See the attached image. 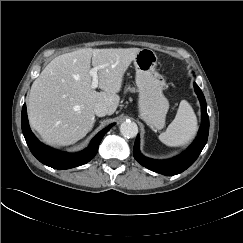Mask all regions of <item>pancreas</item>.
<instances>
[{"mask_svg":"<svg viewBox=\"0 0 243 243\" xmlns=\"http://www.w3.org/2000/svg\"><path fill=\"white\" fill-rule=\"evenodd\" d=\"M127 90H130V91H133V92L135 91L134 88H130V87H128Z\"/></svg>","mask_w":243,"mask_h":243,"instance_id":"1","label":"pancreas"}]
</instances>
